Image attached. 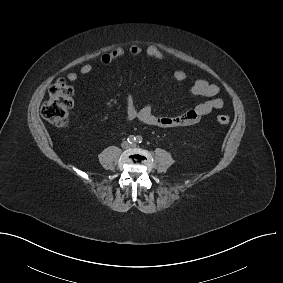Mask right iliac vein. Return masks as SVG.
Listing matches in <instances>:
<instances>
[{
  "label": "right iliac vein",
  "instance_id": "1",
  "mask_svg": "<svg viewBox=\"0 0 283 283\" xmlns=\"http://www.w3.org/2000/svg\"><path fill=\"white\" fill-rule=\"evenodd\" d=\"M122 147H123V148H128V147H129V144H128L127 142H124V143L122 144Z\"/></svg>",
  "mask_w": 283,
  "mask_h": 283
}]
</instances>
